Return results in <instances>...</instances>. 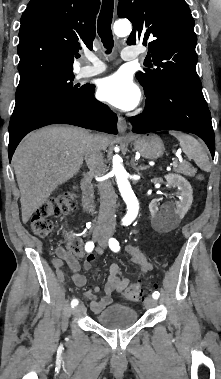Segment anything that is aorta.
Instances as JSON below:
<instances>
[{
	"label": "aorta",
	"instance_id": "762f6f07",
	"mask_svg": "<svg viewBox=\"0 0 221 379\" xmlns=\"http://www.w3.org/2000/svg\"><path fill=\"white\" fill-rule=\"evenodd\" d=\"M114 33L119 37L127 36L132 31L129 21H117L114 24ZM112 172L115 174L116 182L123 200L127 205V213L123 219L124 224H130L138 215L139 203L131 188L128 174L125 170L120 156L115 155L112 160Z\"/></svg>",
	"mask_w": 221,
	"mask_h": 379
}]
</instances>
